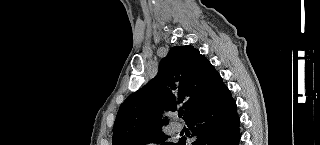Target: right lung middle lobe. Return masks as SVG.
Masks as SVG:
<instances>
[{
  "instance_id": "obj_1",
  "label": "right lung middle lobe",
  "mask_w": 320,
  "mask_h": 145,
  "mask_svg": "<svg viewBox=\"0 0 320 145\" xmlns=\"http://www.w3.org/2000/svg\"><path fill=\"white\" fill-rule=\"evenodd\" d=\"M167 139H168V136L162 133L161 130H158L141 137L140 139L132 143V145H146L150 142L160 143ZM163 145H176V144L172 142H166V143H163Z\"/></svg>"
}]
</instances>
